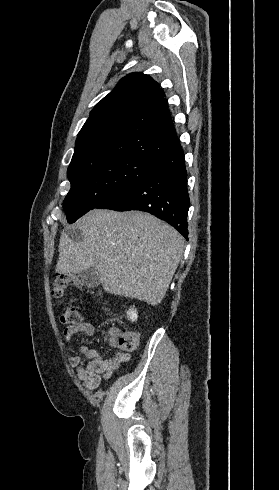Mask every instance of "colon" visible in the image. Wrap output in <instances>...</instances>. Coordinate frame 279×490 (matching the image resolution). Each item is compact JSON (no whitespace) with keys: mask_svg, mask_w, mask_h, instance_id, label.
I'll return each instance as SVG.
<instances>
[{"mask_svg":"<svg viewBox=\"0 0 279 490\" xmlns=\"http://www.w3.org/2000/svg\"><path fill=\"white\" fill-rule=\"evenodd\" d=\"M76 282V277L69 273L59 272L50 283V290L55 298H62L68 285ZM60 321L66 325L80 322V312L75 306H66L59 313ZM104 338H109L112 349L122 353L134 350L138 343L137 332L122 333L121 329H104Z\"/></svg>","mask_w":279,"mask_h":490,"instance_id":"colon-1","label":"colon"}]
</instances>
